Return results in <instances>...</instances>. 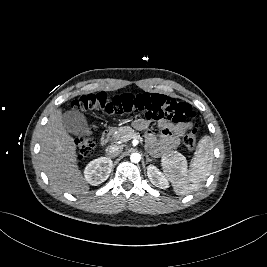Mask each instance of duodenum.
I'll return each instance as SVG.
<instances>
[{
	"label": "duodenum",
	"instance_id": "410a0bca",
	"mask_svg": "<svg viewBox=\"0 0 267 267\" xmlns=\"http://www.w3.org/2000/svg\"><path fill=\"white\" fill-rule=\"evenodd\" d=\"M110 138H111V130L107 129L102 133L100 137V145L102 146L106 145L109 142Z\"/></svg>",
	"mask_w": 267,
	"mask_h": 267
}]
</instances>
